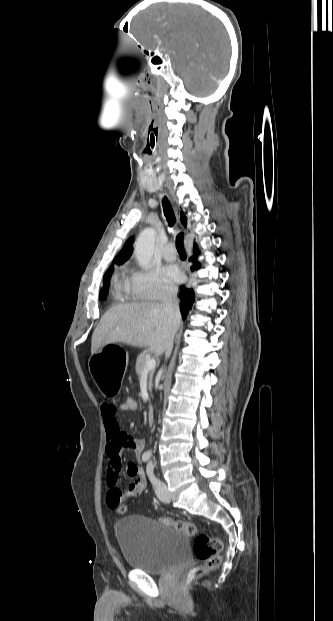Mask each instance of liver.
<instances>
[{"instance_id": "obj_1", "label": "liver", "mask_w": 333, "mask_h": 621, "mask_svg": "<svg viewBox=\"0 0 333 621\" xmlns=\"http://www.w3.org/2000/svg\"><path fill=\"white\" fill-rule=\"evenodd\" d=\"M170 328L162 304L141 302L116 305L102 316L95 328L91 354L107 344L124 343L139 348L149 347L156 355H161L166 350Z\"/></svg>"}]
</instances>
